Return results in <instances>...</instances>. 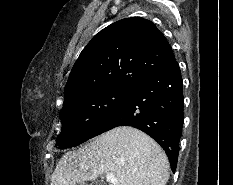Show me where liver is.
I'll return each instance as SVG.
<instances>
[{
    "label": "liver",
    "instance_id": "obj_1",
    "mask_svg": "<svg viewBox=\"0 0 233 185\" xmlns=\"http://www.w3.org/2000/svg\"><path fill=\"white\" fill-rule=\"evenodd\" d=\"M107 173L117 179L110 185H165L169 161L147 134L128 126L117 127L77 151L65 153L52 174L51 185H85Z\"/></svg>",
    "mask_w": 233,
    "mask_h": 185
}]
</instances>
